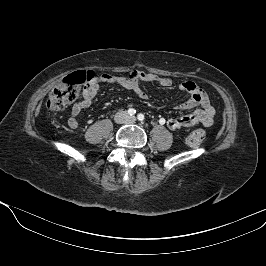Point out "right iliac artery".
<instances>
[{
	"label": "right iliac artery",
	"mask_w": 266,
	"mask_h": 266,
	"mask_svg": "<svg viewBox=\"0 0 266 266\" xmlns=\"http://www.w3.org/2000/svg\"><path fill=\"white\" fill-rule=\"evenodd\" d=\"M135 113H136V110L135 109H133V108L128 109V114L130 116H133Z\"/></svg>",
	"instance_id": "1"
}]
</instances>
